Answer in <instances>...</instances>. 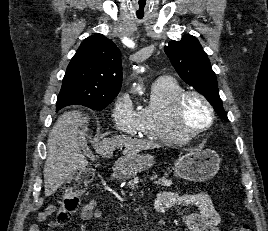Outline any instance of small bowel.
<instances>
[{
  "label": "small bowel",
  "instance_id": "obj_1",
  "mask_svg": "<svg viewBox=\"0 0 268 231\" xmlns=\"http://www.w3.org/2000/svg\"><path fill=\"white\" fill-rule=\"evenodd\" d=\"M194 206L198 209L197 212L189 213L183 216V223L189 231H219V215L215 209L214 203L210 195L206 192H197L193 194H177L174 192H161L154 207L158 212H165L168 209L178 207ZM103 214V209L98 207V202L91 199L82 209L81 217L84 221L82 231H88L87 223L98 219ZM46 211L40 212L38 219L45 220ZM29 231H40L38 225L33 224Z\"/></svg>",
  "mask_w": 268,
  "mask_h": 231
}]
</instances>
